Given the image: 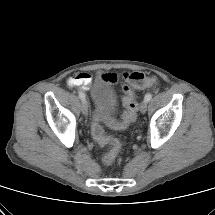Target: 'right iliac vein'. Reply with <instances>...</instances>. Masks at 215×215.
<instances>
[{
    "label": "right iliac vein",
    "instance_id": "right-iliac-vein-1",
    "mask_svg": "<svg viewBox=\"0 0 215 215\" xmlns=\"http://www.w3.org/2000/svg\"><path fill=\"white\" fill-rule=\"evenodd\" d=\"M81 110H82V114L84 116H86L88 114V104H87L86 100L82 101Z\"/></svg>",
    "mask_w": 215,
    "mask_h": 215
}]
</instances>
